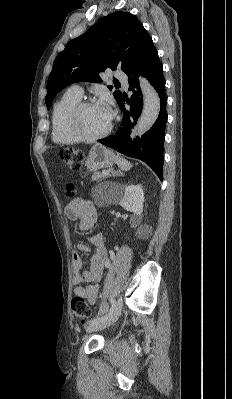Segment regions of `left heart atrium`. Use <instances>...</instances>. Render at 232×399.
Returning a JSON list of instances; mask_svg holds the SVG:
<instances>
[{
    "label": "left heart atrium",
    "instance_id": "39dd6f15",
    "mask_svg": "<svg viewBox=\"0 0 232 399\" xmlns=\"http://www.w3.org/2000/svg\"><path fill=\"white\" fill-rule=\"evenodd\" d=\"M105 117L111 122L114 117V110L110 102H102L98 104Z\"/></svg>",
    "mask_w": 232,
    "mask_h": 399
}]
</instances>
